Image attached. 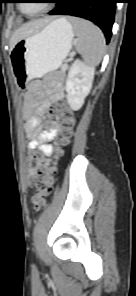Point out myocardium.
I'll use <instances>...</instances> for the list:
<instances>
[{"label":"myocardium","mask_w":136,"mask_h":296,"mask_svg":"<svg viewBox=\"0 0 136 296\" xmlns=\"http://www.w3.org/2000/svg\"><path fill=\"white\" fill-rule=\"evenodd\" d=\"M20 8H21V10L23 11V13H25V14H27V15H29V16H34L35 14H37L38 12H36V13H29L26 9H25V7H24V4H20ZM48 8H46V9H44V10H47Z\"/></svg>","instance_id":"myocardium-1"}]
</instances>
